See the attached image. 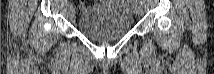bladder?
I'll return each mask as SVG.
<instances>
[{
	"mask_svg": "<svg viewBox=\"0 0 214 74\" xmlns=\"http://www.w3.org/2000/svg\"><path fill=\"white\" fill-rule=\"evenodd\" d=\"M120 3L102 1L87 9L78 19V31L92 40L110 41L123 37L133 26V13Z\"/></svg>",
	"mask_w": 214,
	"mask_h": 74,
	"instance_id": "bladder-1",
	"label": "bladder"
}]
</instances>
